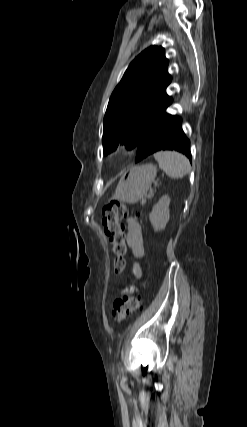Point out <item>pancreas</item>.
Instances as JSON below:
<instances>
[{
    "instance_id": "obj_1",
    "label": "pancreas",
    "mask_w": 247,
    "mask_h": 427,
    "mask_svg": "<svg viewBox=\"0 0 247 427\" xmlns=\"http://www.w3.org/2000/svg\"><path fill=\"white\" fill-rule=\"evenodd\" d=\"M153 196V192L151 191L150 193H149V195H147V197L148 198H151Z\"/></svg>"
}]
</instances>
